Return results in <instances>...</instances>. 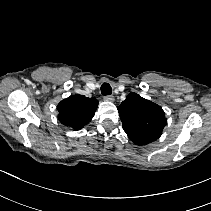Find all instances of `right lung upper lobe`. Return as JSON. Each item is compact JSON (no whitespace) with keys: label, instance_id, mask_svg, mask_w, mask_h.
Here are the masks:
<instances>
[{"label":"right lung upper lobe","instance_id":"obj_1","mask_svg":"<svg viewBox=\"0 0 211 211\" xmlns=\"http://www.w3.org/2000/svg\"><path fill=\"white\" fill-rule=\"evenodd\" d=\"M97 106L95 98L72 95L58 104V119L63 125L79 130L91 121Z\"/></svg>","mask_w":211,"mask_h":211}]
</instances>
